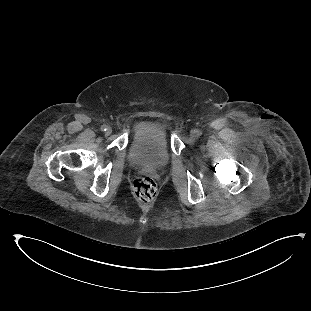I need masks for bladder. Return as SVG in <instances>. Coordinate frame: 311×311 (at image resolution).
<instances>
[{
    "instance_id": "31cf9c89",
    "label": "bladder",
    "mask_w": 311,
    "mask_h": 311,
    "mask_svg": "<svg viewBox=\"0 0 311 311\" xmlns=\"http://www.w3.org/2000/svg\"><path fill=\"white\" fill-rule=\"evenodd\" d=\"M127 161L137 169L159 171L170 163L172 150L165 127L147 124L127 144Z\"/></svg>"
}]
</instances>
